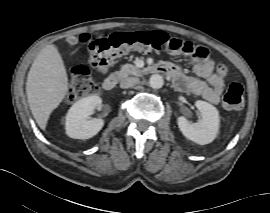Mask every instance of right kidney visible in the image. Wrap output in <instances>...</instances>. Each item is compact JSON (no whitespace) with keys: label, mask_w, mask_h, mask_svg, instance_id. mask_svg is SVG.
I'll use <instances>...</instances> for the list:
<instances>
[{"label":"right kidney","mask_w":270,"mask_h":213,"mask_svg":"<svg viewBox=\"0 0 270 213\" xmlns=\"http://www.w3.org/2000/svg\"><path fill=\"white\" fill-rule=\"evenodd\" d=\"M102 103L99 96H88L74 103L66 114V134L74 139H89L104 126L102 119H89Z\"/></svg>","instance_id":"1"}]
</instances>
